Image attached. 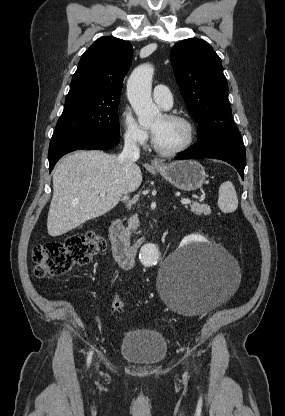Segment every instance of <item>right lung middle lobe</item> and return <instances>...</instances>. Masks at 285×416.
Here are the masks:
<instances>
[{
    "label": "right lung middle lobe",
    "mask_w": 285,
    "mask_h": 416,
    "mask_svg": "<svg viewBox=\"0 0 285 416\" xmlns=\"http://www.w3.org/2000/svg\"><path fill=\"white\" fill-rule=\"evenodd\" d=\"M119 98L80 99L67 96L55 132L119 134Z\"/></svg>",
    "instance_id": "dd1d6c3e"
}]
</instances>
